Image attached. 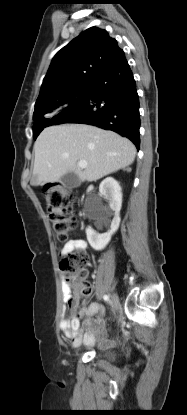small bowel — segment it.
Instances as JSON below:
<instances>
[{
    "label": "small bowel",
    "instance_id": "small-bowel-1",
    "mask_svg": "<svg viewBox=\"0 0 187 415\" xmlns=\"http://www.w3.org/2000/svg\"><path fill=\"white\" fill-rule=\"evenodd\" d=\"M86 246L84 240H70L64 245L61 253L65 255L75 249L84 250ZM62 291L64 301L72 316L63 317L60 327L66 338L71 341V346L77 348L82 343L86 346H93L97 338L103 340V334L99 333L96 336L94 328L96 325L103 323L104 308L97 302L88 304L86 301H83L82 306L76 311L80 303L79 298L71 295L69 286L66 283H63Z\"/></svg>",
    "mask_w": 187,
    "mask_h": 415
}]
</instances>
